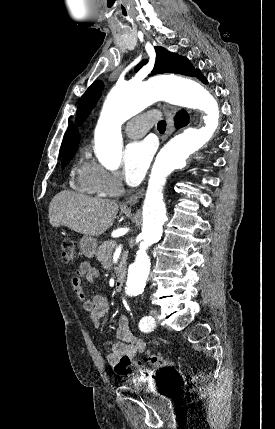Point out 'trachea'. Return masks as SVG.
Masks as SVG:
<instances>
[{"label":"trachea","mask_w":275,"mask_h":429,"mask_svg":"<svg viewBox=\"0 0 275 429\" xmlns=\"http://www.w3.org/2000/svg\"><path fill=\"white\" fill-rule=\"evenodd\" d=\"M157 129L160 133H164L166 130V122L164 120H161L157 124Z\"/></svg>","instance_id":"1"}]
</instances>
